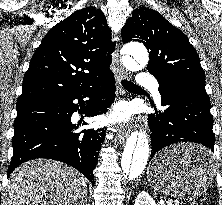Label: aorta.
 Instances as JSON below:
<instances>
[{
  "instance_id": "1",
  "label": "aorta",
  "mask_w": 222,
  "mask_h": 205,
  "mask_svg": "<svg viewBox=\"0 0 222 205\" xmlns=\"http://www.w3.org/2000/svg\"><path fill=\"white\" fill-rule=\"evenodd\" d=\"M122 58L124 65L129 70H137L148 62V52L140 43H131L124 47ZM150 153L149 140L146 132L132 133L125 144L120 169L122 184L135 180L145 169Z\"/></svg>"
}]
</instances>
